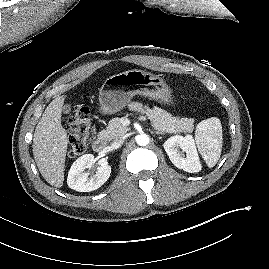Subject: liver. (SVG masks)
Returning <instances> with one entry per match:
<instances>
[{"label":"liver","instance_id":"6515ba94","mask_svg":"<svg viewBox=\"0 0 269 269\" xmlns=\"http://www.w3.org/2000/svg\"><path fill=\"white\" fill-rule=\"evenodd\" d=\"M66 95L55 98L45 109L33 137V156L43 178L52 186H63L68 136L61 124Z\"/></svg>","mask_w":269,"mask_h":269}]
</instances>
